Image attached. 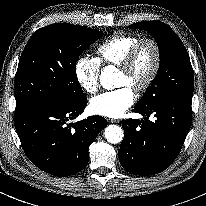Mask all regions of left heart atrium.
Wrapping results in <instances>:
<instances>
[{
	"instance_id": "1",
	"label": "left heart atrium",
	"mask_w": 206,
	"mask_h": 206,
	"mask_svg": "<svg viewBox=\"0 0 206 206\" xmlns=\"http://www.w3.org/2000/svg\"><path fill=\"white\" fill-rule=\"evenodd\" d=\"M135 102L131 87L124 86L114 91L104 92L91 99L89 108L93 114L108 118L121 117Z\"/></svg>"
}]
</instances>
